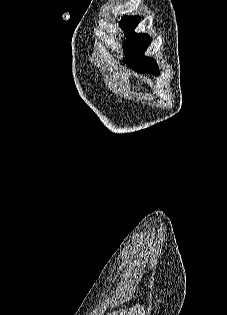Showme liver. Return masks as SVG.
I'll return each instance as SVG.
<instances>
[{
	"instance_id": "obj_1",
	"label": "liver",
	"mask_w": 227,
	"mask_h": 315,
	"mask_svg": "<svg viewBox=\"0 0 227 315\" xmlns=\"http://www.w3.org/2000/svg\"><path fill=\"white\" fill-rule=\"evenodd\" d=\"M121 78L125 82V84H128V74L127 73H122Z\"/></svg>"
}]
</instances>
